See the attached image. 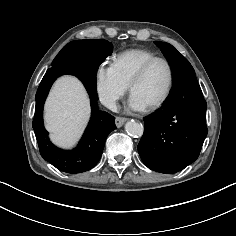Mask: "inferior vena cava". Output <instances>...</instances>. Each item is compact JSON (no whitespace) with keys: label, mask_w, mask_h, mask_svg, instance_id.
Segmentation results:
<instances>
[{"label":"inferior vena cava","mask_w":236,"mask_h":236,"mask_svg":"<svg viewBox=\"0 0 236 236\" xmlns=\"http://www.w3.org/2000/svg\"><path fill=\"white\" fill-rule=\"evenodd\" d=\"M104 105L110 109L112 112H118V107L116 105V102L115 100L113 99H107L105 102H104Z\"/></svg>","instance_id":"1"}]
</instances>
